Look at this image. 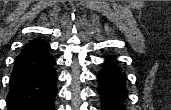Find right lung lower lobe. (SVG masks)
<instances>
[{"label": "right lung lower lobe", "instance_id": "1", "mask_svg": "<svg viewBox=\"0 0 171 110\" xmlns=\"http://www.w3.org/2000/svg\"><path fill=\"white\" fill-rule=\"evenodd\" d=\"M55 58L42 39L27 43L14 61L8 110H54L57 94Z\"/></svg>", "mask_w": 171, "mask_h": 110}]
</instances>
